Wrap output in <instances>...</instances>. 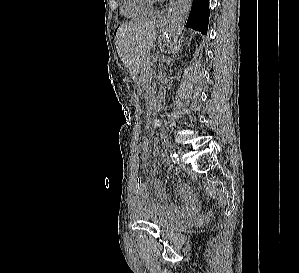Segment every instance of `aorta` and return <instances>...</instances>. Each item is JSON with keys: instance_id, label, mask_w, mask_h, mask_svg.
I'll return each mask as SVG.
<instances>
[{"instance_id": "obj_1", "label": "aorta", "mask_w": 299, "mask_h": 273, "mask_svg": "<svg viewBox=\"0 0 299 273\" xmlns=\"http://www.w3.org/2000/svg\"><path fill=\"white\" fill-rule=\"evenodd\" d=\"M192 0H173L168 12V25L166 27V47L169 52L177 44L182 33L187 15L191 8ZM159 120L155 119L154 124L158 125Z\"/></svg>"}]
</instances>
